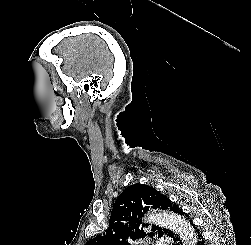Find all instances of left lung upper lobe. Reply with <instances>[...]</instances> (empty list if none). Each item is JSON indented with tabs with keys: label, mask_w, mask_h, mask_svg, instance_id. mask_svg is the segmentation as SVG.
<instances>
[{
	"label": "left lung upper lobe",
	"mask_w": 251,
	"mask_h": 245,
	"mask_svg": "<svg viewBox=\"0 0 251 245\" xmlns=\"http://www.w3.org/2000/svg\"><path fill=\"white\" fill-rule=\"evenodd\" d=\"M157 208L178 214L181 210L176 203L151 186L134 184L127 187L113 205L108 229L86 245H130L131 240L146 237L144 228L148 227V224L140 225L141 218L149 209ZM169 233L172 231L153 225L148 236L162 237L168 236Z\"/></svg>",
	"instance_id": "1"
}]
</instances>
